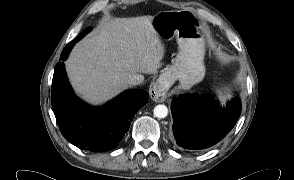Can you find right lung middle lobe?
Instances as JSON below:
<instances>
[{"mask_svg":"<svg viewBox=\"0 0 294 180\" xmlns=\"http://www.w3.org/2000/svg\"><path fill=\"white\" fill-rule=\"evenodd\" d=\"M91 30V27L86 28L83 32H81V34H86L87 32H89Z\"/></svg>","mask_w":294,"mask_h":180,"instance_id":"right-lung-middle-lobe-1","label":"right lung middle lobe"}]
</instances>
